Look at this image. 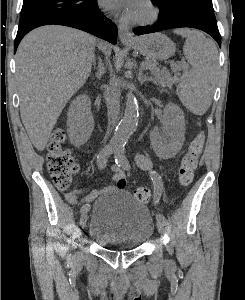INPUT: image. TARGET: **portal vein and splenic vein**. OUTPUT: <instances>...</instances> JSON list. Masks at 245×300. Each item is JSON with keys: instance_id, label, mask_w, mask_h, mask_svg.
Here are the masks:
<instances>
[{"instance_id": "1", "label": "portal vein and splenic vein", "mask_w": 245, "mask_h": 300, "mask_svg": "<svg viewBox=\"0 0 245 300\" xmlns=\"http://www.w3.org/2000/svg\"><path fill=\"white\" fill-rule=\"evenodd\" d=\"M142 66H145L146 68H148V67H149V64L146 63V62H142ZM179 66H180V63H179Z\"/></svg>"}]
</instances>
